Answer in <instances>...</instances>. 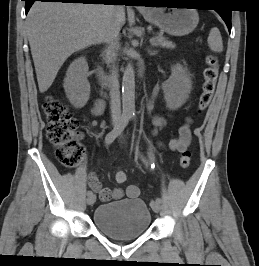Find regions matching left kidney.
<instances>
[{
  "label": "left kidney",
  "mask_w": 259,
  "mask_h": 266,
  "mask_svg": "<svg viewBox=\"0 0 259 266\" xmlns=\"http://www.w3.org/2000/svg\"><path fill=\"white\" fill-rule=\"evenodd\" d=\"M162 89L167 107L170 110L180 108L192 90V80L187 69L181 64L172 65L171 76L163 83Z\"/></svg>",
  "instance_id": "left-kidney-1"
}]
</instances>
